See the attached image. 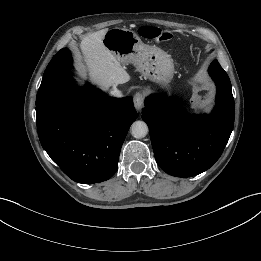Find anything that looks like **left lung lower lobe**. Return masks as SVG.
Listing matches in <instances>:
<instances>
[{
	"label": "left lung lower lobe",
	"instance_id": "1",
	"mask_svg": "<svg viewBox=\"0 0 261 261\" xmlns=\"http://www.w3.org/2000/svg\"><path fill=\"white\" fill-rule=\"evenodd\" d=\"M209 74L217 86L210 115H190L175 99L159 94L145 99L142 119L149 127L155 159L172 176L190 177L209 169L232 132L235 106L229 77L217 60Z\"/></svg>",
	"mask_w": 261,
	"mask_h": 261
}]
</instances>
